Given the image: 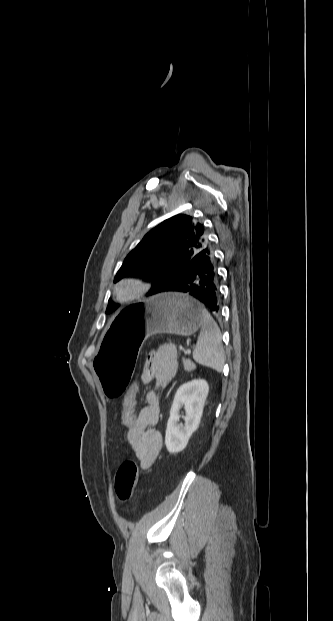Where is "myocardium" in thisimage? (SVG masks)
<instances>
[{
	"mask_svg": "<svg viewBox=\"0 0 333 621\" xmlns=\"http://www.w3.org/2000/svg\"><path fill=\"white\" fill-rule=\"evenodd\" d=\"M125 288H131L128 293H124ZM150 290V284L140 277H124L118 280L113 286V295L121 303H129L145 296Z\"/></svg>",
	"mask_w": 333,
	"mask_h": 621,
	"instance_id": "myocardium-1",
	"label": "myocardium"
}]
</instances>
